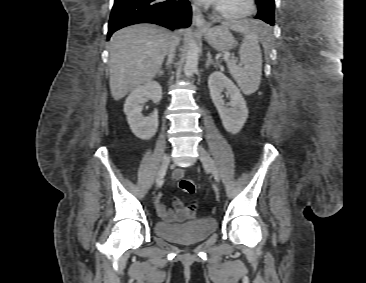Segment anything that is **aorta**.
I'll return each instance as SVG.
<instances>
[{"mask_svg": "<svg viewBox=\"0 0 366 283\" xmlns=\"http://www.w3.org/2000/svg\"><path fill=\"white\" fill-rule=\"evenodd\" d=\"M200 48L196 41L191 40L186 54V63L184 66V74L186 77H191L197 71Z\"/></svg>", "mask_w": 366, "mask_h": 283, "instance_id": "762f6f07", "label": "aorta"}]
</instances>
